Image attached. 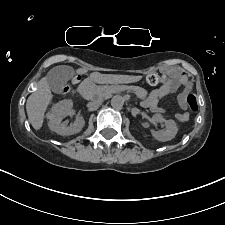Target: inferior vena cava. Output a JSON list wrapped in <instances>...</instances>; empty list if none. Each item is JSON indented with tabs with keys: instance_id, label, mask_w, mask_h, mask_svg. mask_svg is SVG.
Here are the masks:
<instances>
[{
	"instance_id": "1",
	"label": "inferior vena cava",
	"mask_w": 225,
	"mask_h": 225,
	"mask_svg": "<svg viewBox=\"0 0 225 225\" xmlns=\"http://www.w3.org/2000/svg\"><path fill=\"white\" fill-rule=\"evenodd\" d=\"M102 100H103L102 97H97V98L93 99V100L89 103V106L96 105V104L100 103Z\"/></svg>"
}]
</instances>
